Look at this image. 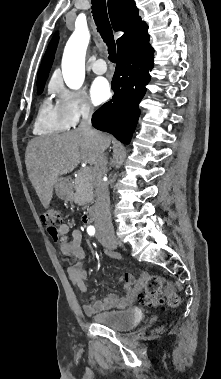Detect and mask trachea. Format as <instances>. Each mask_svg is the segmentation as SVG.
Instances as JSON below:
<instances>
[{"instance_id":"1","label":"trachea","mask_w":221,"mask_h":379,"mask_svg":"<svg viewBox=\"0 0 221 379\" xmlns=\"http://www.w3.org/2000/svg\"><path fill=\"white\" fill-rule=\"evenodd\" d=\"M92 13L97 26V30L108 46V59L115 62L116 44L113 31L108 19L105 0H92Z\"/></svg>"}]
</instances>
